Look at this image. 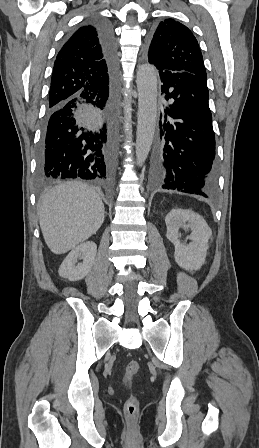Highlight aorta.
Instances as JSON below:
<instances>
[{
  "label": "aorta",
  "mask_w": 259,
  "mask_h": 448,
  "mask_svg": "<svg viewBox=\"0 0 259 448\" xmlns=\"http://www.w3.org/2000/svg\"><path fill=\"white\" fill-rule=\"evenodd\" d=\"M157 70L150 64L138 68V120L136 131V163L142 166L148 157L157 120Z\"/></svg>",
  "instance_id": "762f6f07"
}]
</instances>
